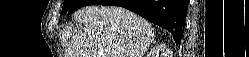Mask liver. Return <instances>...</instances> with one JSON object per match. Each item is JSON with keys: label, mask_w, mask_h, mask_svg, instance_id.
I'll return each mask as SVG.
<instances>
[{"label": "liver", "mask_w": 249, "mask_h": 57, "mask_svg": "<svg viewBox=\"0 0 249 57\" xmlns=\"http://www.w3.org/2000/svg\"><path fill=\"white\" fill-rule=\"evenodd\" d=\"M74 19L84 28L63 29L65 57H143L155 35L148 21L117 6H86Z\"/></svg>", "instance_id": "liver-1"}]
</instances>
